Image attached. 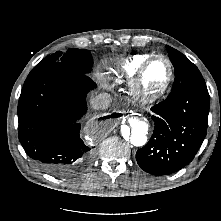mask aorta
Segmentation results:
<instances>
[{
  "mask_svg": "<svg viewBox=\"0 0 221 221\" xmlns=\"http://www.w3.org/2000/svg\"><path fill=\"white\" fill-rule=\"evenodd\" d=\"M149 124L142 117H131L128 124L121 127V138L134 146H143L147 141Z\"/></svg>",
  "mask_w": 221,
  "mask_h": 221,
  "instance_id": "obj_1",
  "label": "aorta"
}]
</instances>
